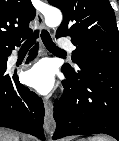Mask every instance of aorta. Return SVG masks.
<instances>
[{
	"instance_id": "aorta-1",
	"label": "aorta",
	"mask_w": 119,
	"mask_h": 141,
	"mask_svg": "<svg viewBox=\"0 0 119 141\" xmlns=\"http://www.w3.org/2000/svg\"><path fill=\"white\" fill-rule=\"evenodd\" d=\"M62 21V14L61 12L56 8H50L45 13V23L49 27H57L60 25Z\"/></svg>"
}]
</instances>
